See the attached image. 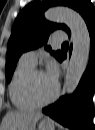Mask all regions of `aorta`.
Returning <instances> with one entry per match:
<instances>
[{
	"label": "aorta",
	"instance_id": "obj_1",
	"mask_svg": "<svg viewBox=\"0 0 95 130\" xmlns=\"http://www.w3.org/2000/svg\"><path fill=\"white\" fill-rule=\"evenodd\" d=\"M44 16L48 21L66 24L71 31L73 50L66 72L64 89L66 94H72L88 64L90 35L87 25L79 13L65 7L50 8Z\"/></svg>",
	"mask_w": 95,
	"mask_h": 130
}]
</instances>
